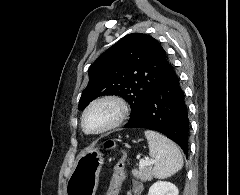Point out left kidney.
Segmentation results:
<instances>
[{
    "mask_svg": "<svg viewBox=\"0 0 240 195\" xmlns=\"http://www.w3.org/2000/svg\"><path fill=\"white\" fill-rule=\"evenodd\" d=\"M178 193V187L171 181H155L148 191V195H178Z\"/></svg>",
    "mask_w": 240,
    "mask_h": 195,
    "instance_id": "5707ae66",
    "label": "left kidney"
}]
</instances>
